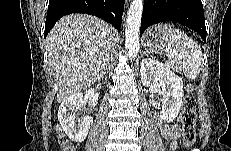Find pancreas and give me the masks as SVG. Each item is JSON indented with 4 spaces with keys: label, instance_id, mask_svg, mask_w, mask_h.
<instances>
[{
    "label": "pancreas",
    "instance_id": "1",
    "mask_svg": "<svg viewBox=\"0 0 231 151\" xmlns=\"http://www.w3.org/2000/svg\"><path fill=\"white\" fill-rule=\"evenodd\" d=\"M169 68L173 71L180 72V65L177 62L170 63Z\"/></svg>",
    "mask_w": 231,
    "mask_h": 151
}]
</instances>
